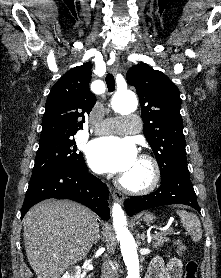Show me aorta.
<instances>
[{"label": "aorta", "instance_id": "1", "mask_svg": "<svg viewBox=\"0 0 221 278\" xmlns=\"http://www.w3.org/2000/svg\"><path fill=\"white\" fill-rule=\"evenodd\" d=\"M136 107L137 99L135 94L131 91L117 93L112 99V108L118 113H129L134 111ZM112 217L116 238L120 243L123 260L127 267L126 278H140L137 245L133 236L126 227V216L120 205H113Z\"/></svg>", "mask_w": 221, "mask_h": 278}]
</instances>
